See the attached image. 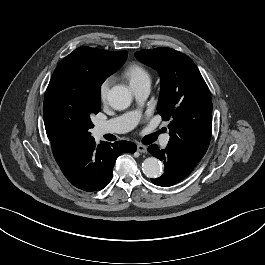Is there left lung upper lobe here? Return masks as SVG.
Wrapping results in <instances>:
<instances>
[{
	"mask_svg": "<svg viewBox=\"0 0 265 265\" xmlns=\"http://www.w3.org/2000/svg\"><path fill=\"white\" fill-rule=\"evenodd\" d=\"M161 77L158 113L170 121L168 148L190 169L206 153L212 130L210 91L195 63L185 54L160 47L135 53Z\"/></svg>",
	"mask_w": 265,
	"mask_h": 265,
	"instance_id": "left-lung-upper-lobe-1",
	"label": "left lung upper lobe"
}]
</instances>
